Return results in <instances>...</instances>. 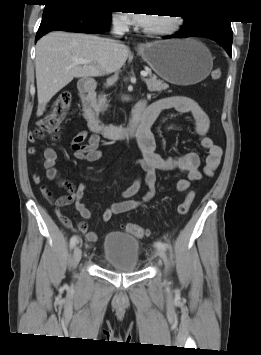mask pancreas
<instances>
[{
    "mask_svg": "<svg viewBox=\"0 0 261 355\" xmlns=\"http://www.w3.org/2000/svg\"><path fill=\"white\" fill-rule=\"evenodd\" d=\"M145 83L147 85V89L150 92H161L163 90L168 89V84L164 83L162 80L157 79L155 75L150 77L149 79H145ZM107 99L106 95H99L98 98L94 102V106L97 111H104L107 108Z\"/></svg>",
    "mask_w": 261,
    "mask_h": 355,
    "instance_id": "obj_1",
    "label": "pancreas"
}]
</instances>
